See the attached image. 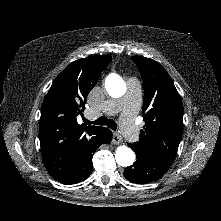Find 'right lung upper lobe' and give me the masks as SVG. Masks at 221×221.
<instances>
[{"label":"right lung upper lobe","instance_id":"obj_1","mask_svg":"<svg viewBox=\"0 0 221 221\" xmlns=\"http://www.w3.org/2000/svg\"><path fill=\"white\" fill-rule=\"evenodd\" d=\"M112 56L92 55L69 64L45 96L39 126L42 158L51 176L61 182L72 172L80 150L102 127L77 123L86 98Z\"/></svg>","mask_w":221,"mask_h":221}]
</instances>
